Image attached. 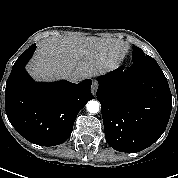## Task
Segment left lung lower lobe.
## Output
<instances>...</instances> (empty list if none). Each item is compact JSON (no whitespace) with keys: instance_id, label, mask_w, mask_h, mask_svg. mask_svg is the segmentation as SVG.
I'll return each instance as SVG.
<instances>
[{"instance_id":"obj_1","label":"left lung lower lobe","mask_w":178,"mask_h":178,"mask_svg":"<svg viewBox=\"0 0 178 178\" xmlns=\"http://www.w3.org/2000/svg\"><path fill=\"white\" fill-rule=\"evenodd\" d=\"M98 82L105 138L112 148L134 153L159 139L169 121L172 96L155 59L135 61Z\"/></svg>"}]
</instances>
